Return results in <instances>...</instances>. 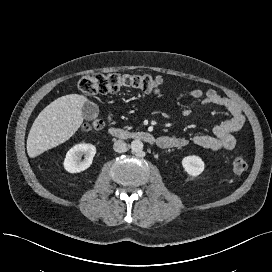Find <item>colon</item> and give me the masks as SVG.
Instances as JSON below:
<instances>
[{"label": "colon", "mask_w": 272, "mask_h": 272, "mask_svg": "<svg viewBox=\"0 0 272 272\" xmlns=\"http://www.w3.org/2000/svg\"><path fill=\"white\" fill-rule=\"evenodd\" d=\"M162 78L151 74H122L103 73L83 76L79 79L77 88L86 95L117 93L122 89L132 88L147 94L159 92ZM104 126V121L95 117L86 125V129L98 130ZM235 173H242L247 169V162L242 156H236L231 162Z\"/></svg>", "instance_id": "5ec220e1"}]
</instances>
